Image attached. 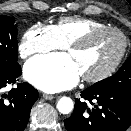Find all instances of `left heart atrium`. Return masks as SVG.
<instances>
[{
    "label": "left heart atrium",
    "mask_w": 131,
    "mask_h": 131,
    "mask_svg": "<svg viewBox=\"0 0 131 131\" xmlns=\"http://www.w3.org/2000/svg\"><path fill=\"white\" fill-rule=\"evenodd\" d=\"M81 73L74 59L66 53L38 56L24 67L25 78L46 92H58L73 87Z\"/></svg>",
    "instance_id": "1"
}]
</instances>
